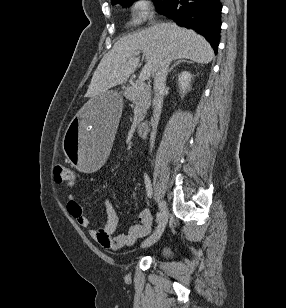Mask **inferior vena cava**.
I'll use <instances>...</instances> for the list:
<instances>
[{
	"instance_id": "inferior-vena-cava-1",
	"label": "inferior vena cava",
	"mask_w": 286,
	"mask_h": 308,
	"mask_svg": "<svg viewBox=\"0 0 286 308\" xmlns=\"http://www.w3.org/2000/svg\"><path fill=\"white\" fill-rule=\"evenodd\" d=\"M173 60L172 55L167 54L162 63L160 64L157 72L154 77V99H153V117H152V132L150 134V143L151 147L154 145L156 130L158 126V122L160 119L162 103H163V93L166 88V78L168 73V68Z\"/></svg>"
}]
</instances>
